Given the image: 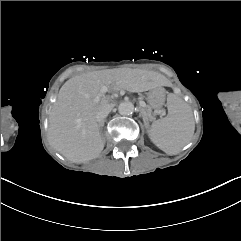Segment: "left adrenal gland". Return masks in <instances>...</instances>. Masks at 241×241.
Masks as SVG:
<instances>
[{
	"label": "left adrenal gland",
	"instance_id": "obj_1",
	"mask_svg": "<svg viewBox=\"0 0 241 241\" xmlns=\"http://www.w3.org/2000/svg\"><path fill=\"white\" fill-rule=\"evenodd\" d=\"M142 117H143L144 124H148V118L144 114L142 115Z\"/></svg>",
	"mask_w": 241,
	"mask_h": 241
}]
</instances>
